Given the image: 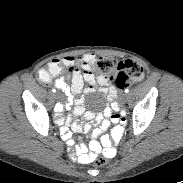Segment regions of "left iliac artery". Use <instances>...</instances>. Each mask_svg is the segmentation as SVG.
<instances>
[{
  "instance_id": "1",
  "label": "left iliac artery",
  "mask_w": 183,
  "mask_h": 183,
  "mask_svg": "<svg viewBox=\"0 0 183 183\" xmlns=\"http://www.w3.org/2000/svg\"><path fill=\"white\" fill-rule=\"evenodd\" d=\"M129 92V89L127 88V89H125V93H128Z\"/></svg>"
}]
</instances>
